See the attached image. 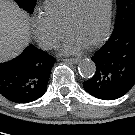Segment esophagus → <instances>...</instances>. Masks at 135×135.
Listing matches in <instances>:
<instances>
[{"label": "esophagus", "mask_w": 135, "mask_h": 135, "mask_svg": "<svg viewBox=\"0 0 135 135\" xmlns=\"http://www.w3.org/2000/svg\"><path fill=\"white\" fill-rule=\"evenodd\" d=\"M64 62L71 63V64H77L79 62L78 58H70V59H63Z\"/></svg>", "instance_id": "1"}]
</instances>
